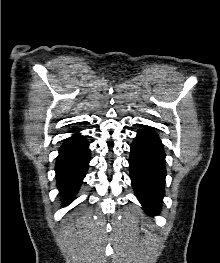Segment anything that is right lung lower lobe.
Instances as JSON below:
<instances>
[{
	"label": "right lung lower lobe",
	"mask_w": 220,
	"mask_h": 263,
	"mask_svg": "<svg viewBox=\"0 0 220 263\" xmlns=\"http://www.w3.org/2000/svg\"><path fill=\"white\" fill-rule=\"evenodd\" d=\"M89 161V145L84 136H72L66 139L60 147L55 171L63 206L73 201L87 172Z\"/></svg>",
	"instance_id": "right-lung-lower-lobe-1"
}]
</instances>
